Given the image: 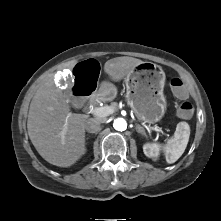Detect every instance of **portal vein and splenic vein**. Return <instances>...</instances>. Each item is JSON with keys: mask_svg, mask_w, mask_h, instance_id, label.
Masks as SVG:
<instances>
[{"mask_svg": "<svg viewBox=\"0 0 221 221\" xmlns=\"http://www.w3.org/2000/svg\"><path fill=\"white\" fill-rule=\"evenodd\" d=\"M113 111H114V108L111 107V106L90 108V113L93 114L94 116H97V117H100V118L109 116L110 114L113 113ZM142 124L144 125V123H142ZM67 126H68V124L66 122L65 125H64V129H63L64 132H66ZM144 126L147 128L146 125H144ZM150 128L157 131V132L163 133V130L159 127H150Z\"/></svg>", "mask_w": 221, "mask_h": 221, "instance_id": "1", "label": "portal vein and splenic vein"}]
</instances>
